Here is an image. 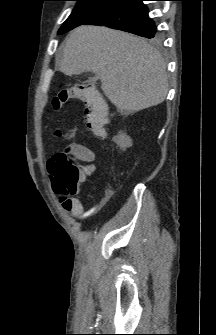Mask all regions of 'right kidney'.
Listing matches in <instances>:
<instances>
[{
  "instance_id": "1",
  "label": "right kidney",
  "mask_w": 216,
  "mask_h": 335,
  "mask_svg": "<svg viewBox=\"0 0 216 335\" xmlns=\"http://www.w3.org/2000/svg\"><path fill=\"white\" fill-rule=\"evenodd\" d=\"M113 141L120 147L121 150L125 151L127 148L132 146V140L126 133L119 132L117 136L113 138Z\"/></svg>"
}]
</instances>
